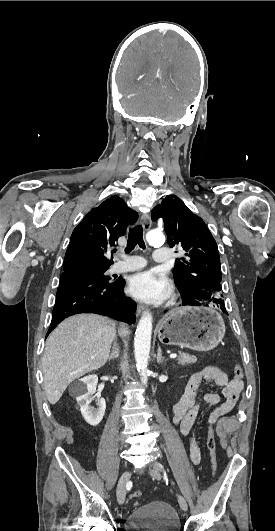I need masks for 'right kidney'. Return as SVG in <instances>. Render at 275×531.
Wrapping results in <instances>:
<instances>
[{
    "label": "right kidney",
    "instance_id": "ca27d5eb",
    "mask_svg": "<svg viewBox=\"0 0 275 531\" xmlns=\"http://www.w3.org/2000/svg\"><path fill=\"white\" fill-rule=\"evenodd\" d=\"M98 385L97 375H88L83 379H78L70 385L69 393L71 397H75L77 405L80 407L82 417H84L88 425L96 427L102 421L106 409L105 399H99L98 409L90 407L92 395H95Z\"/></svg>",
    "mask_w": 275,
    "mask_h": 531
}]
</instances>
